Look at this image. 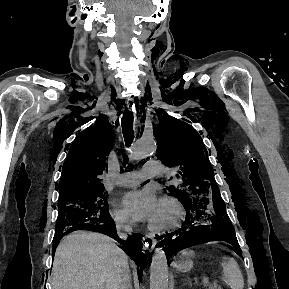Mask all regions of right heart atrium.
Listing matches in <instances>:
<instances>
[{
  "mask_svg": "<svg viewBox=\"0 0 289 289\" xmlns=\"http://www.w3.org/2000/svg\"><path fill=\"white\" fill-rule=\"evenodd\" d=\"M112 218L116 225L120 228L128 229L131 227V222L127 215L120 209L115 208L112 211Z\"/></svg>",
  "mask_w": 289,
  "mask_h": 289,
  "instance_id": "1",
  "label": "right heart atrium"
}]
</instances>
